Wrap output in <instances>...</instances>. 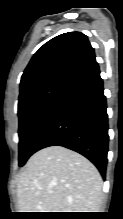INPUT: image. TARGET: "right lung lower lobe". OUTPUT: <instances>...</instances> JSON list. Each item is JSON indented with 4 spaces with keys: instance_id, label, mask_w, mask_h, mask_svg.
<instances>
[{
    "instance_id": "1",
    "label": "right lung lower lobe",
    "mask_w": 123,
    "mask_h": 219,
    "mask_svg": "<svg viewBox=\"0 0 123 219\" xmlns=\"http://www.w3.org/2000/svg\"><path fill=\"white\" fill-rule=\"evenodd\" d=\"M97 62L71 78L55 103L35 143L34 153L63 146L88 158L105 177L108 115Z\"/></svg>"
}]
</instances>
